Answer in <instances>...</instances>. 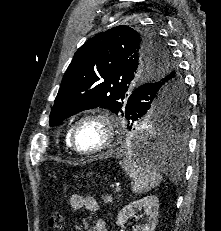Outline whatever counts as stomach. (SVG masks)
Masks as SVG:
<instances>
[{
  "label": "stomach",
  "mask_w": 221,
  "mask_h": 231,
  "mask_svg": "<svg viewBox=\"0 0 221 231\" xmlns=\"http://www.w3.org/2000/svg\"><path fill=\"white\" fill-rule=\"evenodd\" d=\"M143 132H146V129H144V131H140V132H138V133H143Z\"/></svg>",
  "instance_id": "1"
}]
</instances>
